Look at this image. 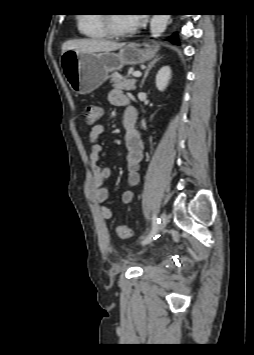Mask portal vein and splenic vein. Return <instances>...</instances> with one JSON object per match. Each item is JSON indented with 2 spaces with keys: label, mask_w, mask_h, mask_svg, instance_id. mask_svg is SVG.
Returning a JSON list of instances; mask_svg holds the SVG:
<instances>
[{
  "label": "portal vein and splenic vein",
  "mask_w": 254,
  "mask_h": 355,
  "mask_svg": "<svg viewBox=\"0 0 254 355\" xmlns=\"http://www.w3.org/2000/svg\"><path fill=\"white\" fill-rule=\"evenodd\" d=\"M134 77H140L142 73L140 71H136L132 74Z\"/></svg>",
  "instance_id": "18ae733b"
}]
</instances>
